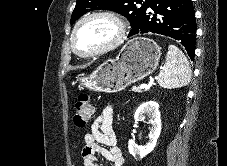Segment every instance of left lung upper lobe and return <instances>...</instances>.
Here are the masks:
<instances>
[{
    "label": "left lung upper lobe",
    "instance_id": "1",
    "mask_svg": "<svg viewBox=\"0 0 227 166\" xmlns=\"http://www.w3.org/2000/svg\"><path fill=\"white\" fill-rule=\"evenodd\" d=\"M137 4H141V6ZM96 9L114 10L124 15L131 23L132 29L129 36H132L138 30L143 20L146 0H77L71 16V25L88 11Z\"/></svg>",
    "mask_w": 227,
    "mask_h": 166
}]
</instances>
